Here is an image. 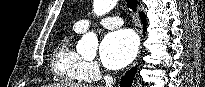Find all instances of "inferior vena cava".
Returning <instances> with one entry per match:
<instances>
[{
	"instance_id": "1",
	"label": "inferior vena cava",
	"mask_w": 205,
	"mask_h": 87,
	"mask_svg": "<svg viewBox=\"0 0 205 87\" xmlns=\"http://www.w3.org/2000/svg\"><path fill=\"white\" fill-rule=\"evenodd\" d=\"M104 80L106 82V87H112L114 84V79L110 75L104 76Z\"/></svg>"
}]
</instances>
